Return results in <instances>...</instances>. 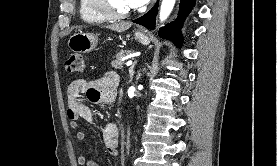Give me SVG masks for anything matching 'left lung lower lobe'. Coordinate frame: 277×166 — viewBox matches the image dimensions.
<instances>
[{
  "label": "left lung lower lobe",
  "instance_id": "0a47b994",
  "mask_svg": "<svg viewBox=\"0 0 277 166\" xmlns=\"http://www.w3.org/2000/svg\"><path fill=\"white\" fill-rule=\"evenodd\" d=\"M196 0H181L179 16L168 26L162 27L159 30V36L164 39H170L180 47L183 42V36L181 33V25L185 19V16L192 10ZM158 3L145 15L133 20L134 23L143 25L151 30L155 28V19L157 15Z\"/></svg>",
  "mask_w": 277,
  "mask_h": 166
}]
</instances>
